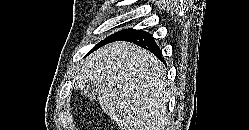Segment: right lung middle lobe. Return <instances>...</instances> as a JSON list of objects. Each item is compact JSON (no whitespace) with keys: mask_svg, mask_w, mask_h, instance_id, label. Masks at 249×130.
<instances>
[{"mask_svg":"<svg viewBox=\"0 0 249 130\" xmlns=\"http://www.w3.org/2000/svg\"><path fill=\"white\" fill-rule=\"evenodd\" d=\"M133 30H134V29L131 28V29H125V30L119 31V32H117V33L111 35L110 37L106 38L105 40L101 41L99 44L96 45L95 48H97V47H99V46H101V45H104V44H106V43H108V42H110V41H112V40H114V39H116V38H118V37H120V36H122V35H125V34L131 32V31H133ZM95 48H94V49H95Z\"/></svg>","mask_w":249,"mask_h":130,"instance_id":"1","label":"right lung middle lobe"}]
</instances>
